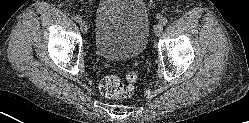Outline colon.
<instances>
[{"mask_svg":"<svg viewBox=\"0 0 249 123\" xmlns=\"http://www.w3.org/2000/svg\"><path fill=\"white\" fill-rule=\"evenodd\" d=\"M100 92L103 96L111 99H125L133 94V85L124 82L118 76H106L99 85Z\"/></svg>","mask_w":249,"mask_h":123,"instance_id":"colon-1","label":"colon"}]
</instances>
